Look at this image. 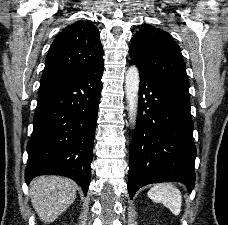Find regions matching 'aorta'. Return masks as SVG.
Instances as JSON below:
<instances>
[{"instance_id": "obj_1", "label": "aorta", "mask_w": 228, "mask_h": 225, "mask_svg": "<svg viewBox=\"0 0 228 225\" xmlns=\"http://www.w3.org/2000/svg\"><path fill=\"white\" fill-rule=\"evenodd\" d=\"M139 82V70L137 66L133 64V66H129L128 70H126L125 76V92L129 110V121L131 125L136 123Z\"/></svg>"}]
</instances>
